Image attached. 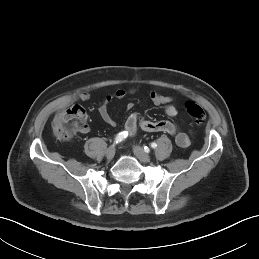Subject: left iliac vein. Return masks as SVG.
Masks as SVG:
<instances>
[{
  "label": "left iliac vein",
  "mask_w": 259,
  "mask_h": 259,
  "mask_svg": "<svg viewBox=\"0 0 259 259\" xmlns=\"http://www.w3.org/2000/svg\"><path fill=\"white\" fill-rule=\"evenodd\" d=\"M133 152H134V154L136 155V157L140 160V161H142V162H144V163H147V162H149L150 161V155L148 154V153H146L145 151H144V149L142 148V147H140V146H138V145H135L134 147H133Z\"/></svg>",
  "instance_id": "left-iliac-vein-1"
}]
</instances>
